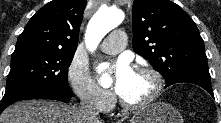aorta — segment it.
I'll list each match as a JSON object with an SVG mask.
<instances>
[{
	"label": "aorta",
	"instance_id": "1",
	"mask_svg": "<svg viewBox=\"0 0 221 123\" xmlns=\"http://www.w3.org/2000/svg\"><path fill=\"white\" fill-rule=\"evenodd\" d=\"M124 20V13L120 9L100 8L88 23L85 33V43L90 50H94L104 36L112 29L119 26ZM112 79L108 74H103L100 79L102 86L111 84Z\"/></svg>",
	"mask_w": 221,
	"mask_h": 123
}]
</instances>
